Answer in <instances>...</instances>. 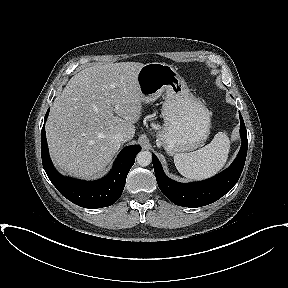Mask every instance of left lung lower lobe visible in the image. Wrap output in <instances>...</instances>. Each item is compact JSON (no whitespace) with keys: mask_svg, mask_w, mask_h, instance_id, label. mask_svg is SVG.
Instances as JSON below:
<instances>
[{"mask_svg":"<svg viewBox=\"0 0 288 288\" xmlns=\"http://www.w3.org/2000/svg\"><path fill=\"white\" fill-rule=\"evenodd\" d=\"M240 134L242 145L233 163L218 175L201 182L179 183L169 179L155 154H152L155 177L160 190L173 203L183 207H201L211 204L225 195L238 181L246 160L248 140L241 114Z\"/></svg>","mask_w":288,"mask_h":288,"instance_id":"0a47b994","label":"left lung lower lobe"}]
</instances>
